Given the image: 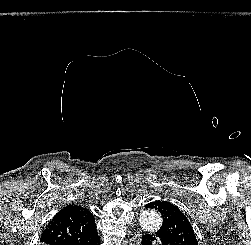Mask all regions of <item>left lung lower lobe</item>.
Returning a JSON list of instances; mask_svg holds the SVG:
<instances>
[{"label": "left lung lower lobe", "mask_w": 251, "mask_h": 245, "mask_svg": "<svg viewBox=\"0 0 251 245\" xmlns=\"http://www.w3.org/2000/svg\"><path fill=\"white\" fill-rule=\"evenodd\" d=\"M152 241H158L159 245H176L167 235L158 232L144 235L142 245H151Z\"/></svg>", "instance_id": "left-lung-lower-lobe-1"}]
</instances>
